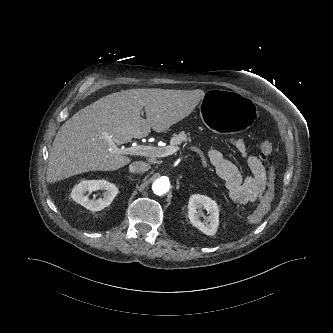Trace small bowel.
Here are the masks:
<instances>
[{
	"mask_svg": "<svg viewBox=\"0 0 333 333\" xmlns=\"http://www.w3.org/2000/svg\"><path fill=\"white\" fill-rule=\"evenodd\" d=\"M230 145L246 161L249 175L243 176L238 167L231 161L225 159L222 153L213 149L208 152L207 160L213 165L217 174L227 184L231 197L238 203H249L261 201L268 188L265 179L267 171L262 161L247 150L246 143L241 137L228 138Z\"/></svg>",
	"mask_w": 333,
	"mask_h": 333,
	"instance_id": "obj_1",
	"label": "small bowel"
}]
</instances>
